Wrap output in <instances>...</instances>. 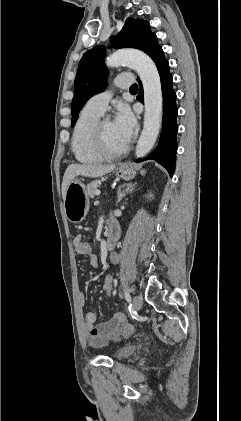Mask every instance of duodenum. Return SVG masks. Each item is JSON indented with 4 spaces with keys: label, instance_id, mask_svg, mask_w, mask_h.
Wrapping results in <instances>:
<instances>
[{
    "label": "duodenum",
    "instance_id": "410a0bca",
    "mask_svg": "<svg viewBox=\"0 0 241 421\" xmlns=\"http://www.w3.org/2000/svg\"><path fill=\"white\" fill-rule=\"evenodd\" d=\"M120 236V229L119 226L117 225L116 222L111 221L109 224V229H108V234H107V239H106V247L108 249H112L117 240L119 239Z\"/></svg>",
    "mask_w": 241,
    "mask_h": 421
}]
</instances>
